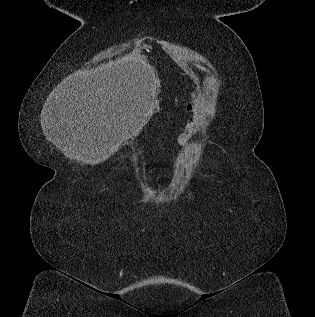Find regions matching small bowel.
<instances>
[{"label": "small bowel", "instance_id": "obj_1", "mask_svg": "<svg viewBox=\"0 0 315 317\" xmlns=\"http://www.w3.org/2000/svg\"><path fill=\"white\" fill-rule=\"evenodd\" d=\"M196 120H197V116H193L192 118H190V120L187 124L186 130L179 135L178 140H179L180 144L186 145L191 140V137H192L191 136V129H192V126Z\"/></svg>", "mask_w": 315, "mask_h": 317}]
</instances>
